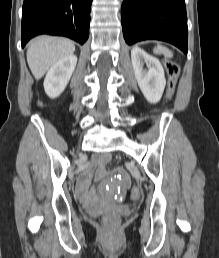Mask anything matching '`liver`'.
Instances as JSON below:
<instances>
[{
	"label": "liver",
	"instance_id": "liver-1",
	"mask_svg": "<svg viewBox=\"0 0 219 258\" xmlns=\"http://www.w3.org/2000/svg\"><path fill=\"white\" fill-rule=\"evenodd\" d=\"M75 45L64 38L39 36L29 45L27 62L35 79H41L55 63L72 55Z\"/></svg>",
	"mask_w": 219,
	"mask_h": 258
}]
</instances>
